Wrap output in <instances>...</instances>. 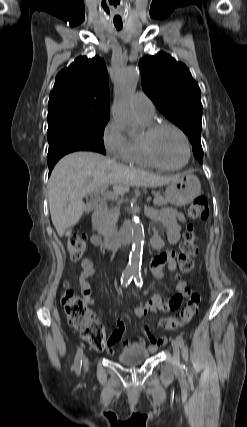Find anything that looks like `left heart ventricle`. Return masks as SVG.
Returning <instances> with one entry per match:
<instances>
[{
    "label": "left heart ventricle",
    "mask_w": 247,
    "mask_h": 427,
    "mask_svg": "<svg viewBox=\"0 0 247 427\" xmlns=\"http://www.w3.org/2000/svg\"><path fill=\"white\" fill-rule=\"evenodd\" d=\"M153 151L158 161L167 166H179L186 157L182 138L171 128H164L156 134Z\"/></svg>",
    "instance_id": "b2bd125f"
}]
</instances>
